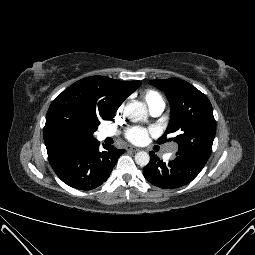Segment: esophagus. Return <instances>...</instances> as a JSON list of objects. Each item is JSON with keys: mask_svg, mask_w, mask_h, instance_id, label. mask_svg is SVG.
Wrapping results in <instances>:
<instances>
[{"mask_svg": "<svg viewBox=\"0 0 255 255\" xmlns=\"http://www.w3.org/2000/svg\"><path fill=\"white\" fill-rule=\"evenodd\" d=\"M126 150H127V151H131V152H137V151H139L138 148H136V147H131V146L126 147Z\"/></svg>", "mask_w": 255, "mask_h": 255, "instance_id": "34e87169", "label": "esophagus"}]
</instances>
